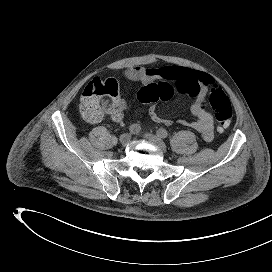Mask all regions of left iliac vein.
<instances>
[{"label":"left iliac vein","instance_id":"obj_1","mask_svg":"<svg viewBox=\"0 0 272 272\" xmlns=\"http://www.w3.org/2000/svg\"><path fill=\"white\" fill-rule=\"evenodd\" d=\"M145 138L149 142L157 146L163 153L166 152L167 150L166 144L158 136L148 133L145 134Z\"/></svg>","mask_w":272,"mask_h":272}]
</instances>
